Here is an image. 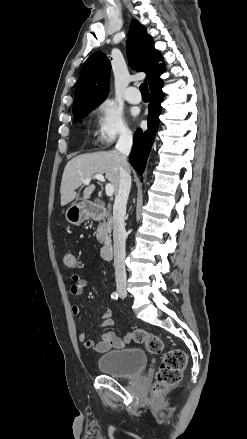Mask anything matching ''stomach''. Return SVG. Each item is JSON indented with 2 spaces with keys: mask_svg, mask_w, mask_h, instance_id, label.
<instances>
[{
  "mask_svg": "<svg viewBox=\"0 0 247 439\" xmlns=\"http://www.w3.org/2000/svg\"><path fill=\"white\" fill-rule=\"evenodd\" d=\"M89 217V210L85 202L71 205L65 213L66 220L74 225L81 224Z\"/></svg>",
  "mask_w": 247,
  "mask_h": 439,
  "instance_id": "obj_1",
  "label": "stomach"
}]
</instances>
